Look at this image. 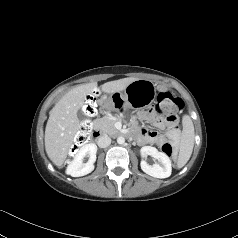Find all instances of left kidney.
Returning <instances> with one entry per match:
<instances>
[{"instance_id": "obj_1", "label": "left kidney", "mask_w": 238, "mask_h": 238, "mask_svg": "<svg viewBox=\"0 0 238 238\" xmlns=\"http://www.w3.org/2000/svg\"><path fill=\"white\" fill-rule=\"evenodd\" d=\"M140 152L143 158L149 155L158 160V163L153 165H149L145 160L141 161V169L146 174L156 178H167L171 175V160L165 153L159 152L152 146H144L141 148Z\"/></svg>"}]
</instances>
